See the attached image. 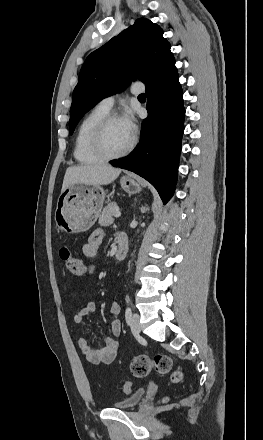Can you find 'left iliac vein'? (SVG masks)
Listing matches in <instances>:
<instances>
[{"label": "left iliac vein", "instance_id": "left-iliac-vein-1", "mask_svg": "<svg viewBox=\"0 0 263 440\" xmlns=\"http://www.w3.org/2000/svg\"><path fill=\"white\" fill-rule=\"evenodd\" d=\"M130 328L134 335H139L141 332V326L139 321V316L134 313L132 315L131 321H130Z\"/></svg>", "mask_w": 263, "mask_h": 440}]
</instances>
